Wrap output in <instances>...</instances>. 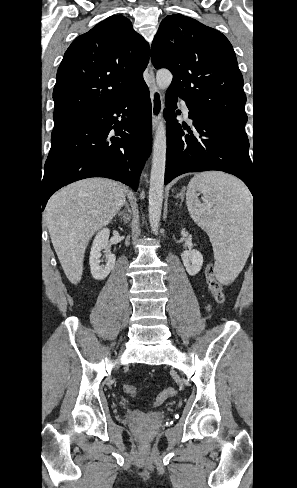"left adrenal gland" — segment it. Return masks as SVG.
<instances>
[{"label": "left adrenal gland", "mask_w": 297, "mask_h": 488, "mask_svg": "<svg viewBox=\"0 0 297 488\" xmlns=\"http://www.w3.org/2000/svg\"><path fill=\"white\" fill-rule=\"evenodd\" d=\"M184 191H185V188L182 189V191L179 194H177V196H176V198H180L181 199V204L184 201Z\"/></svg>", "instance_id": "1"}]
</instances>
